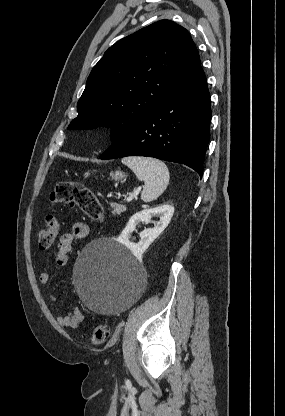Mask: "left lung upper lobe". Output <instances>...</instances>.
Masks as SVG:
<instances>
[{
    "mask_svg": "<svg viewBox=\"0 0 285 416\" xmlns=\"http://www.w3.org/2000/svg\"><path fill=\"white\" fill-rule=\"evenodd\" d=\"M200 68L188 31L155 22L115 43L94 66L67 129L112 128L114 142L153 112Z\"/></svg>",
    "mask_w": 285,
    "mask_h": 416,
    "instance_id": "1",
    "label": "left lung upper lobe"
}]
</instances>
